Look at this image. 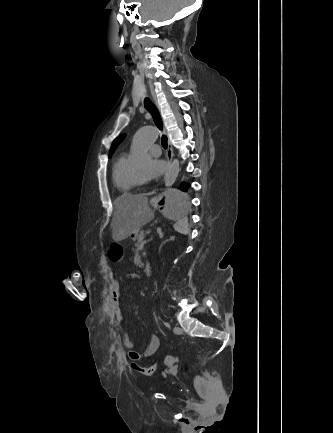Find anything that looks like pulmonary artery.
<instances>
[{"label":"pulmonary artery","instance_id":"obj_1","mask_svg":"<svg viewBox=\"0 0 333 433\" xmlns=\"http://www.w3.org/2000/svg\"><path fill=\"white\" fill-rule=\"evenodd\" d=\"M149 150L153 156H160L161 154V147L157 144L152 145Z\"/></svg>","mask_w":333,"mask_h":433}]
</instances>
